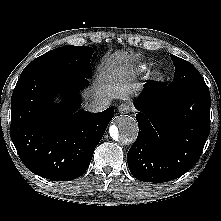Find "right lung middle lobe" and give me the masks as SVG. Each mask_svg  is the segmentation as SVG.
<instances>
[{
    "mask_svg": "<svg viewBox=\"0 0 221 221\" xmlns=\"http://www.w3.org/2000/svg\"><path fill=\"white\" fill-rule=\"evenodd\" d=\"M93 49L88 46H65L51 50L30 62L21 76L32 72L53 73L78 77L91 76L90 59Z\"/></svg>",
    "mask_w": 221,
    "mask_h": 221,
    "instance_id": "1",
    "label": "right lung middle lobe"
}]
</instances>
